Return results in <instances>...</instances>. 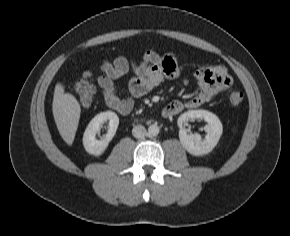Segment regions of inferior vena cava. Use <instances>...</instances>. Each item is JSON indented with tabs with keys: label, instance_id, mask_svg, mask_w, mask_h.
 <instances>
[{
	"label": "inferior vena cava",
	"instance_id": "inferior-vena-cava-1",
	"mask_svg": "<svg viewBox=\"0 0 290 236\" xmlns=\"http://www.w3.org/2000/svg\"><path fill=\"white\" fill-rule=\"evenodd\" d=\"M132 134L135 138H143L146 136L147 131L144 126L137 125L133 127Z\"/></svg>",
	"mask_w": 290,
	"mask_h": 236
}]
</instances>
